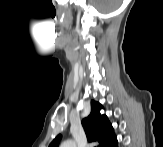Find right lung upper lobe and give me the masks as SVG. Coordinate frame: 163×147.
<instances>
[{
    "label": "right lung upper lobe",
    "instance_id": "obj_1",
    "mask_svg": "<svg viewBox=\"0 0 163 147\" xmlns=\"http://www.w3.org/2000/svg\"><path fill=\"white\" fill-rule=\"evenodd\" d=\"M102 105L94 100L91 101V113L82 120L86 136L90 142L97 141L99 147H108L116 138L114 129L106 115H101ZM61 139V135L51 142L49 147H57Z\"/></svg>",
    "mask_w": 163,
    "mask_h": 147
}]
</instances>
